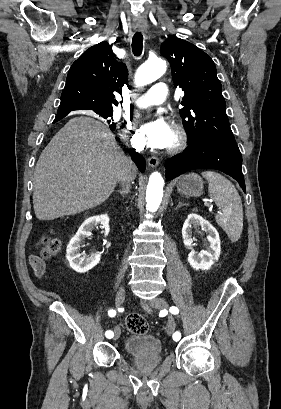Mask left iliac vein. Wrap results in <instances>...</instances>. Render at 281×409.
I'll return each mask as SVG.
<instances>
[{"mask_svg":"<svg viewBox=\"0 0 281 409\" xmlns=\"http://www.w3.org/2000/svg\"><path fill=\"white\" fill-rule=\"evenodd\" d=\"M143 306L145 305H150L151 307L155 309H166L168 307L167 302L163 298H154L150 301H142L141 302ZM175 330V321L172 316L168 317V322L166 326V332L168 335H171Z\"/></svg>","mask_w":281,"mask_h":409,"instance_id":"left-iliac-vein-1","label":"left iliac vein"}]
</instances>
